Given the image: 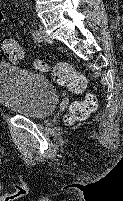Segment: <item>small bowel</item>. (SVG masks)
<instances>
[{
    "label": "small bowel",
    "instance_id": "c3829d8e",
    "mask_svg": "<svg viewBox=\"0 0 123 201\" xmlns=\"http://www.w3.org/2000/svg\"><path fill=\"white\" fill-rule=\"evenodd\" d=\"M6 17L3 12L0 11V24H2L5 21Z\"/></svg>",
    "mask_w": 123,
    "mask_h": 201
}]
</instances>
